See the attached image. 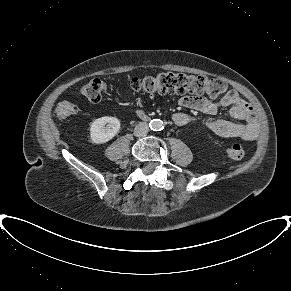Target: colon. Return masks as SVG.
Here are the masks:
<instances>
[{"label": "colon", "instance_id": "colon-1", "mask_svg": "<svg viewBox=\"0 0 291 291\" xmlns=\"http://www.w3.org/2000/svg\"><path fill=\"white\" fill-rule=\"evenodd\" d=\"M129 88L136 92L149 95L206 93L210 97H218L226 85L217 78L204 75H190L172 71L159 72L146 77H134L128 84ZM109 89V84L101 79H93L80 88V94L91 102H99L103 94ZM77 112V106L69 101H63L56 108V115L61 118H69ZM231 160H241L245 156L244 147L241 144H233L225 151Z\"/></svg>", "mask_w": 291, "mask_h": 291}]
</instances>
